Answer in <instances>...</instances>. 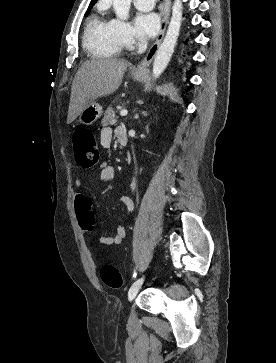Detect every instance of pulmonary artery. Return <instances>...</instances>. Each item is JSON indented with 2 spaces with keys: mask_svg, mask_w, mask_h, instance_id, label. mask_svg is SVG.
I'll use <instances>...</instances> for the list:
<instances>
[{
  "mask_svg": "<svg viewBox=\"0 0 276 363\" xmlns=\"http://www.w3.org/2000/svg\"><path fill=\"white\" fill-rule=\"evenodd\" d=\"M136 8L142 11H149L153 9L155 0H133Z\"/></svg>",
  "mask_w": 276,
  "mask_h": 363,
  "instance_id": "obj_1",
  "label": "pulmonary artery"
}]
</instances>
